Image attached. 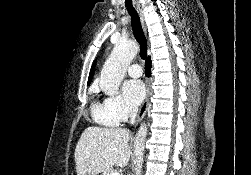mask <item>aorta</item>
<instances>
[{
    "label": "aorta",
    "instance_id": "obj_1",
    "mask_svg": "<svg viewBox=\"0 0 251 175\" xmlns=\"http://www.w3.org/2000/svg\"><path fill=\"white\" fill-rule=\"evenodd\" d=\"M137 52L138 44H135V42H119V44H115L102 68L100 76L99 86L106 95H115L122 80H124L128 66H130ZM147 129V123H141L134 141L136 175H141L142 171Z\"/></svg>",
    "mask_w": 251,
    "mask_h": 175
}]
</instances>
